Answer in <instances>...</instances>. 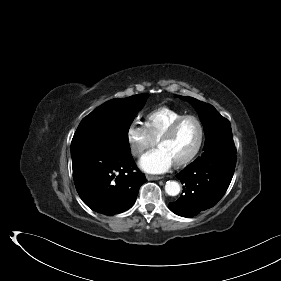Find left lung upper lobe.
I'll use <instances>...</instances> for the list:
<instances>
[{"label": "left lung upper lobe", "mask_w": 281, "mask_h": 281, "mask_svg": "<svg viewBox=\"0 0 281 281\" xmlns=\"http://www.w3.org/2000/svg\"><path fill=\"white\" fill-rule=\"evenodd\" d=\"M180 98L187 100L199 110L206 135L203 154L222 152L236 154L230 122L221 116L212 105L192 97L180 96Z\"/></svg>", "instance_id": "left-lung-upper-lobe-1"}]
</instances>
